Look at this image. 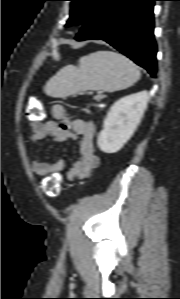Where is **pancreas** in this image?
<instances>
[{
  "label": "pancreas",
  "mask_w": 180,
  "mask_h": 299,
  "mask_svg": "<svg viewBox=\"0 0 180 299\" xmlns=\"http://www.w3.org/2000/svg\"><path fill=\"white\" fill-rule=\"evenodd\" d=\"M103 97H104L103 95H99V96H98V98H103Z\"/></svg>",
  "instance_id": "obj_1"
}]
</instances>
